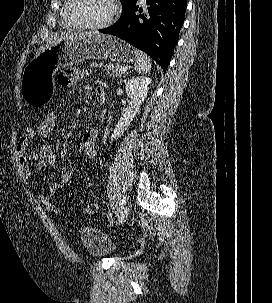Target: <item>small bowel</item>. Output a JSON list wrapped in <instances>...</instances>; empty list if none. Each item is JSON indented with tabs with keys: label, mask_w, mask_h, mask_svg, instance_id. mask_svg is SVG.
Segmentation results:
<instances>
[{
	"label": "small bowel",
	"mask_w": 272,
	"mask_h": 303,
	"mask_svg": "<svg viewBox=\"0 0 272 303\" xmlns=\"http://www.w3.org/2000/svg\"><path fill=\"white\" fill-rule=\"evenodd\" d=\"M85 74V71L80 69L68 70L59 75V82L64 86H72L83 78ZM100 91L105 92L101 86L97 88L96 93ZM96 136V129L89 130L83 135L79 143L81 152L89 159H94L97 154L95 147ZM33 138L34 131H25L16 147L19 166L27 179L34 178V173L30 168L31 162L36 161V170L42 171L53 166L57 161L55 150L48 145H43L36 150L30 149ZM47 190V194L39 193L37 195L38 200L48 211L57 214L60 212V208L52 203V197L58 192V186L56 183H50Z\"/></svg>",
	"instance_id": "obj_1"
}]
</instances>
